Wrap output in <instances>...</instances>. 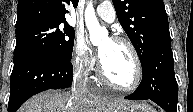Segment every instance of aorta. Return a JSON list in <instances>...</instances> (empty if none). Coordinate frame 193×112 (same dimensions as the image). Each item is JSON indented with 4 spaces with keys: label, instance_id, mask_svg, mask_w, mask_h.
<instances>
[{
    "label": "aorta",
    "instance_id": "762f6f07",
    "mask_svg": "<svg viewBox=\"0 0 193 112\" xmlns=\"http://www.w3.org/2000/svg\"><path fill=\"white\" fill-rule=\"evenodd\" d=\"M85 23L89 31L90 41L94 45H98L108 35L107 30L99 25L91 1L85 10Z\"/></svg>",
    "mask_w": 193,
    "mask_h": 112
}]
</instances>
